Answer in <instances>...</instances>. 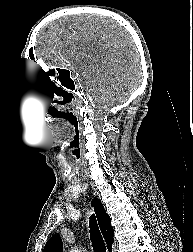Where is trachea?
<instances>
[{"mask_svg": "<svg viewBox=\"0 0 193 252\" xmlns=\"http://www.w3.org/2000/svg\"><path fill=\"white\" fill-rule=\"evenodd\" d=\"M89 227L90 240L92 242L93 250L95 252H106V246L99 230L95 215L90 216Z\"/></svg>", "mask_w": 193, "mask_h": 252, "instance_id": "3493384b", "label": "trachea"}]
</instances>
